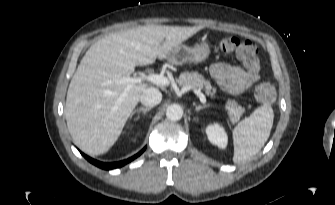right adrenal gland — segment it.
<instances>
[{"mask_svg":"<svg viewBox=\"0 0 335 205\" xmlns=\"http://www.w3.org/2000/svg\"><path fill=\"white\" fill-rule=\"evenodd\" d=\"M151 108L150 107H140L136 110H134L132 113H131V116L130 118H132V116L135 114V113H139V112H142L143 115H145L148 111H150Z\"/></svg>","mask_w":335,"mask_h":205,"instance_id":"right-adrenal-gland-1","label":"right adrenal gland"}]
</instances>
